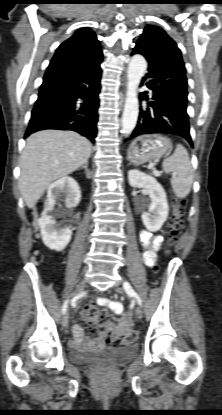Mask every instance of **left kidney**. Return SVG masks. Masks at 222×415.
Instances as JSON below:
<instances>
[{
    "label": "left kidney",
    "instance_id": "1",
    "mask_svg": "<svg viewBox=\"0 0 222 415\" xmlns=\"http://www.w3.org/2000/svg\"><path fill=\"white\" fill-rule=\"evenodd\" d=\"M130 186L134 188H145L151 199L148 212L142 214V221L147 230L158 231L167 220L169 206L165 190L157 180L137 169L128 171Z\"/></svg>",
    "mask_w": 222,
    "mask_h": 415
}]
</instances>
